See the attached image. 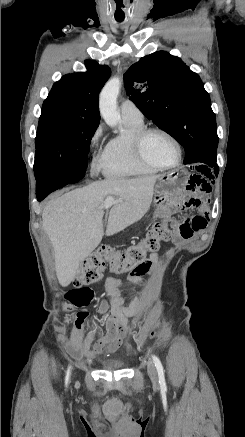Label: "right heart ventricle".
<instances>
[{"instance_id":"obj_1","label":"right heart ventricle","mask_w":245,"mask_h":437,"mask_svg":"<svg viewBox=\"0 0 245 437\" xmlns=\"http://www.w3.org/2000/svg\"><path fill=\"white\" fill-rule=\"evenodd\" d=\"M123 131L107 144L100 169L108 178H130L154 174L158 170L141 163L134 154L132 140L144 122L122 118Z\"/></svg>"}]
</instances>
